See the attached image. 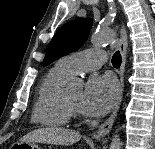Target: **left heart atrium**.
Here are the masks:
<instances>
[{
  "label": "left heart atrium",
  "instance_id": "39dd6f15",
  "mask_svg": "<svg viewBox=\"0 0 155 149\" xmlns=\"http://www.w3.org/2000/svg\"><path fill=\"white\" fill-rule=\"evenodd\" d=\"M118 95L116 80L110 75L91 78L82 93L79 110L87 116L105 115Z\"/></svg>",
  "mask_w": 155,
  "mask_h": 149
}]
</instances>
